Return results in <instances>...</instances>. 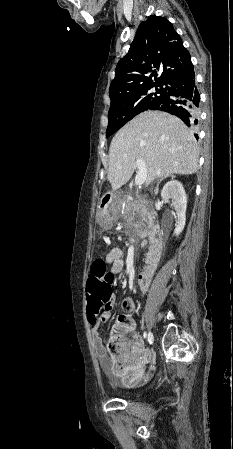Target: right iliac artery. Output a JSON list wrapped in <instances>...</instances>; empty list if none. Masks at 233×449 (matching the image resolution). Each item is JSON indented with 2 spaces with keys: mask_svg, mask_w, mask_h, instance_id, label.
Masks as SVG:
<instances>
[{
  "mask_svg": "<svg viewBox=\"0 0 233 449\" xmlns=\"http://www.w3.org/2000/svg\"><path fill=\"white\" fill-rule=\"evenodd\" d=\"M143 336H144V338H146L147 337V334H146V332H144L143 333ZM149 337H150V335L148 334V342L151 344L152 342L149 340Z\"/></svg>",
  "mask_w": 233,
  "mask_h": 449,
  "instance_id": "1",
  "label": "right iliac artery"
}]
</instances>
